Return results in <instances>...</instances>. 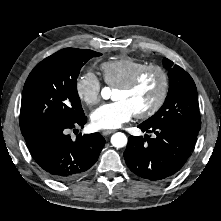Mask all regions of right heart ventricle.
Instances as JSON below:
<instances>
[{
  "label": "right heart ventricle",
  "instance_id": "e07e8e85",
  "mask_svg": "<svg viewBox=\"0 0 221 221\" xmlns=\"http://www.w3.org/2000/svg\"><path fill=\"white\" fill-rule=\"evenodd\" d=\"M146 64L132 57H123L103 62L100 69L105 83L110 87H117L130 79Z\"/></svg>",
  "mask_w": 221,
  "mask_h": 221
}]
</instances>
